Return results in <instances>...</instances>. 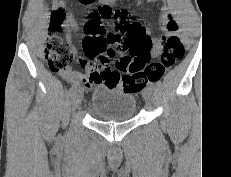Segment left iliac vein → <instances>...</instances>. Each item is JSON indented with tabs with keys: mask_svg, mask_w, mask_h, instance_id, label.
I'll return each instance as SVG.
<instances>
[{
	"mask_svg": "<svg viewBox=\"0 0 231 177\" xmlns=\"http://www.w3.org/2000/svg\"><path fill=\"white\" fill-rule=\"evenodd\" d=\"M143 98L148 104L153 102V90L151 87H147L143 92Z\"/></svg>",
	"mask_w": 231,
	"mask_h": 177,
	"instance_id": "1",
	"label": "left iliac vein"
}]
</instances>
